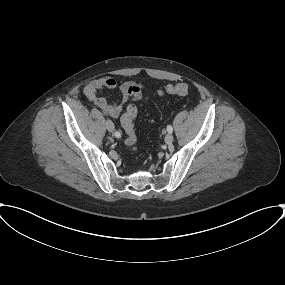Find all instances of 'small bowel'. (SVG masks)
Returning <instances> with one entry per match:
<instances>
[{"label": "small bowel", "mask_w": 285, "mask_h": 285, "mask_svg": "<svg viewBox=\"0 0 285 285\" xmlns=\"http://www.w3.org/2000/svg\"><path fill=\"white\" fill-rule=\"evenodd\" d=\"M116 91L121 95V102L110 103L104 96H100L102 90ZM83 94L88 101L100 108L103 113L112 118L121 115L124 105L132 101L146 100L143 94V85L135 81H125L118 84L111 77H100L90 81L83 88Z\"/></svg>", "instance_id": "small-bowel-1"}]
</instances>
